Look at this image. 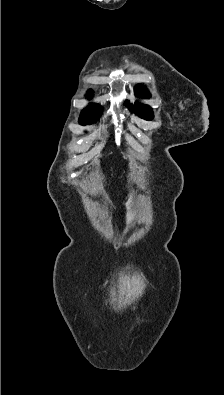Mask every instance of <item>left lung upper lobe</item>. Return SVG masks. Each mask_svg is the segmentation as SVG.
<instances>
[{
    "mask_svg": "<svg viewBox=\"0 0 224 395\" xmlns=\"http://www.w3.org/2000/svg\"><path fill=\"white\" fill-rule=\"evenodd\" d=\"M135 93L138 96L144 97V98H149L150 94L148 91L142 86V85H137L135 87ZM126 105L130 106V109H132L133 112H135L138 116L145 120H151L153 118V111L149 106L142 105L139 103H135V105H130L128 101H126Z\"/></svg>",
    "mask_w": 224,
    "mask_h": 395,
    "instance_id": "1",
    "label": "left lung upper lobe"
}]
</instances>
